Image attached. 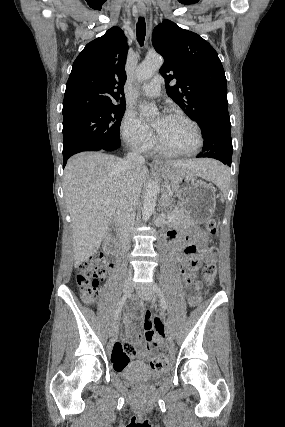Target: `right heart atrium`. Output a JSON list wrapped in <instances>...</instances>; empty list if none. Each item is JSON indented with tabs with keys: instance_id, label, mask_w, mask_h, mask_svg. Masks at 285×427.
Wrapping results in <instances>:
<instances>
[{
	"instance_id": "1",
	"label": "right heart atrium",
	"mask_w": 285,
	"mask_h": 427,
	"mask_svg": "<svg viewBox=\"0 0 285 427\" xmlns=\"http://www.w3.org/2000/svg\"><path fill=\"white\" fill-rule=\"evenodd\" d=\"M121 133L131 148L141 152L148 151L155 144L151 129L131 111L124 115Z\"/></svg>"
}]
</instances>
